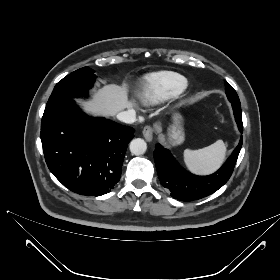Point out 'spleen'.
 <instances>
[{"instance_id": "3e777b00", "label": "spleen", "mask_w": 280, "mask_h": 280, "mask_svg": "<svg viewBox=\"0 0 280 280\" xmlns=\"http://www.w3.org/2000/svg\"><path fill=\"white\" fill-rule=\"evenodd\" d=\"M225 155L226 144L222 140H217L202 149H186L184 151V162L192 173L208 175L222 165Z\"/></svg>"}]
</instances>
